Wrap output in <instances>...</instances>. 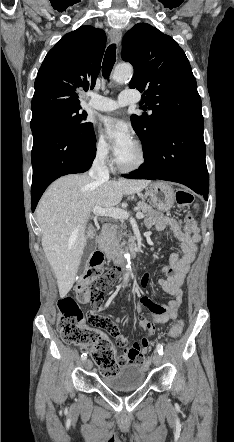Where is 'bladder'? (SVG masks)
Here are the masks:
<instances>
[{
    "mask_svg": "<svg viewBox=\"0 0 234 442\" xmlns=\"http://www.w3.org/2000/svg\"><path fill=\"white\" fill-rule=\"evenodd\" d=\"M145 378V369L136 364H128L121 367L116 375L102 378V382L112 390H131L142 386Z\"/></svg>",
    "mask_w": 234,
    "mask_h": 442,
    "instance_id": "1",
    "label": "bladder"
}]
</instances>
